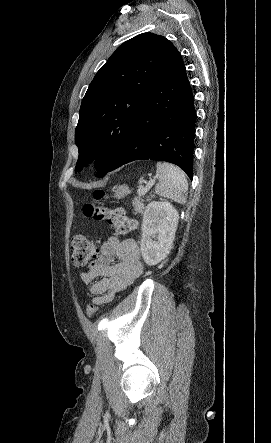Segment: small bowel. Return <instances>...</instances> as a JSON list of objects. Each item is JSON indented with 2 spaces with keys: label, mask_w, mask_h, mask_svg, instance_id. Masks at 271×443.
<instances>
[{
  "label": "small bowel",
  "mask_w": 271,
  "mask_h": 443,
  "mask_svg": "<svg viewBox=\"0 0 271 443\" xmlns=\"http://www.w3.org/2000/svg\"><path fill=\"white\" fill-rule=\"evenodd\" d=\"M141 273L138 244L133 239L110 236L102 244L98 258L80 277L84 284L91 285L92 303L100 306L110 303Z\"/></svg>",
  "instance_id": "c3829d8e"
}]
</instances>
